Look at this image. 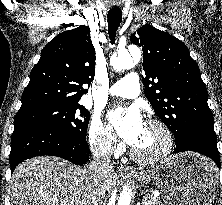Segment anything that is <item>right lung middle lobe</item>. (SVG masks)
<instances>
[{"instance_id":"right-lung-middle-lobe-1","label":"right lung middle lobe","mask_w":222,"mask_h":205,"mask_svg":"<svg viewBox=\"0 0 222 205\" xmlns=\"http://www.w3.org/2000/svg\"><path fill=\"white\" fill-rule=\"evenodd\" d=\"M89 119V111L79 103H53L18 112L14 124L40 123L68 134L86 138Z\"/></svg>"}]
</instances>
